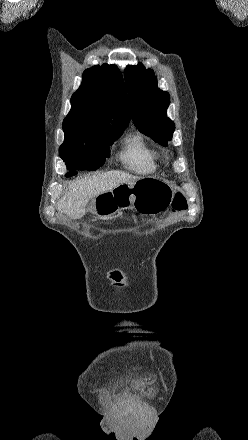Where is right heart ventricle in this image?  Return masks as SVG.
Masks as SVG:
<instances>
[{
  "label": "right heart ventricle",
  "mask_w": 248,
  "mask_h": 440,
  "mask_svg": "<svg viewBox=\"0 0 248 440\" xmlns=\"http://www.w3.org/2000/svg\"><path fill=\"white\" fill-rule=\"evenodd\" d=\"M158 153L135 135L125 141L120 152V160L124 167L136 174H151L158 168Z\"/></svg>",
  "instance_id": "right-heart-ventricle-1"
}]
</instances>
